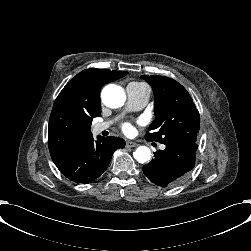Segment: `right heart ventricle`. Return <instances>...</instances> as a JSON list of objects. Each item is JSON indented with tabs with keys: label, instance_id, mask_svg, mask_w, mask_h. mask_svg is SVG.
I'll use <instances>...</instances> for the list:
<instances>
[{
	"label": "right heart ventricle",
	"instance_id": "obj_1",
	"mask_svg": "<svg viewBox=\"0 0 251 251\" xmlns=\"http://www.w3.org/2000/svg\"><path fill=\"white\" fill-rule=\"evenodd\" d=\"M135 72H137V70H135ZM132 83H135V84H137V85H139V86H141V87L145 88V84L138 83V82H132Z\"/></svg>",
	"mask_w": 251,
	"mask_h": 251
}]
</instances>
